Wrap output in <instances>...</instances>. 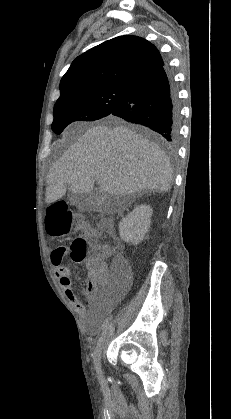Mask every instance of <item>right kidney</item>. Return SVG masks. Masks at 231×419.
<instances>
[{
	"mask_svg": "<svg viewBox=\"0 0 231 419\" xmlns=\"http://www.w3.org/2000/svg\"><path fill=\"white\" fill-rule=\"evenodd\" d=\"M152 213L153 210L149 205H141L123 217L119 222L121 239L127 243H140L150 227Z\"/></svg>",
	"mask_w": 231,
	"mask_h": 419,
	"instance_id": "1",
	"label": "right kidney"
}]
</instances>
